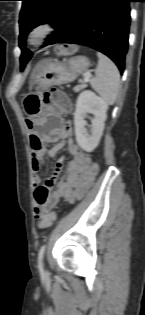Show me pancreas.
Wrapping results in <instances>:
<instances>
[{"label":"pancreas","instance_id":"obj_1","mask_svg":"<svg viewBox=\"0 0 145 315\" xmlns=\"http://www.w3.org/2000/svg\"><path fill=\"white\" fill-rule=\"evenodd\" d=\"M84 88H86V85H85V84H83V85H77V86L74 87V91H75V92H79V91L83 90Z\"/></svg>","mask_w":145,"mask_h":315}]
</instances>
